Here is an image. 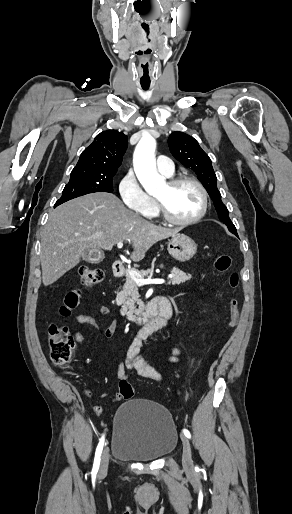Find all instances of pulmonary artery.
<instances>
[{"instance_id": "pulmonary-artery-1", "label": "pulmonary artery", "mask_w": 292, "mask_h": 514, "mask_svg": "<svg viewBox=\"0 0 292 514\" xmlns=\"http://www.w3.org/2000/svg\"><path fill=\"white\" fill-rule=\"evenodd\" d=\"M158 169H159L160 173L167 178L172 177L174 174V168L171 163V159L168 156H163L160 159V163L158 164Z\"/></svg>"}]
</instances>
